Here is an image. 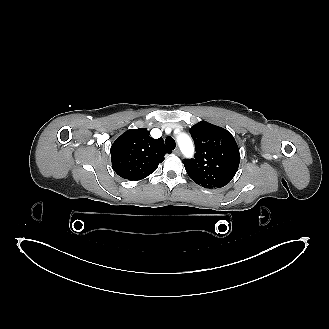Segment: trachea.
<instances>
[{"instance_id":"obj_1","label":"trachea","mask_w":329,"mask_h":329,"mask_svg":"<svg viewBox=\"0 0 329 329\" xmlns=\"http://www.w3.org/2000/svg\"><path fill=\"white\" fill-rule=\"evenodd\" d=\"M165 143L169 149H172V150L175 149L176 145H175V141L172 137H167L165 139Z\"/></svg>"}]
</instances>
